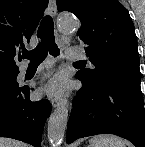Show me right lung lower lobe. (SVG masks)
I'll list each match as a JSON object with an SVG mask.
<instances>
[{
	"mask_svg": "<svg viewBox=\"0 0 145 147\" xmlns=\"http://www.w3.org/2000/svg\"><path fill=\"white\" fill-rule=\"evenodd\" d=\"M29 95L30 88L26 86H0V137L40 147L44 124L50 115V103L47 99L32 102Z\"/></svg>",
	"mask_w": 145,
	"mask_h": 147,
	"instance_id": "98d812e1",
	"label": "right lung lower lobe"
}]
</instances>
